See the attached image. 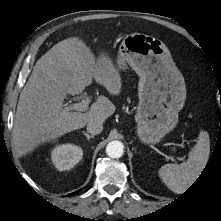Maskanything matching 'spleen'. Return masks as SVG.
<instances>
[{
	"label": "spleen",
	"instance_id": "obj_1",
	"mask_svg": "<svg viewBox=\"0 0 221 221\" xmlns=\"http://www.w3.org/2000/svg\"><path fill=\"white\" fill-rule=\"evenodd\" d=\"M210 154V139L207 131L201 130L197 143L188 154V160L181 164H166L159 170V176L174 193H183L198 178Z\"/></svg>",
	"mask_w": 221,
	"mask_h": 221
}]
</instances>
